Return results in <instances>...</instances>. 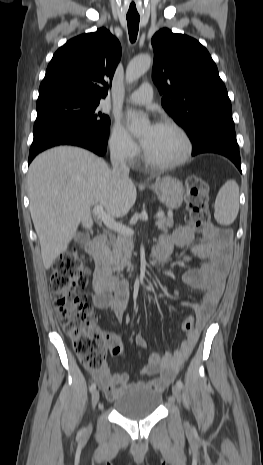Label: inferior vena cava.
I'll return each instance as SVG.
<instances>
[{"label": "inferior vena cava", "instance_id": "obj_1", "mask_svg": "<svg viewBox=\"0 0 263 465\" xmlns=\"http://www.w3.org/2000/svg\"><path fill=\"white\" fill-rule=\"evenodd\" d=\"M112 174L121 180L129 179V167L125 163V153L121 149H112L110 152Z\"/></svg>", "mask_w": 263, "mask_h": 465}]
</instances>
